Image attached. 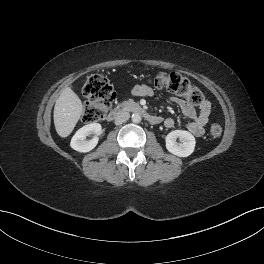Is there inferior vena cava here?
I'll use <instances>...</instances> for the list:
<instances>
[{
  "mask_svg": "<svg viewBox=\"0 0 264 264\" xmlns=\"http://www.w3.org/2000/svg\"><path fill=\"white\" fill-rule=\"evenodd\" d=\"M129 118H130L129 112H121L116 116L115 124L120 125V124L126 122Z\"/></svg>",
  "mask_w": 264,
  "mask_h": 264,
  "instance_id": "inferior-vena-cava-1",
  "label": "inferior vena cava"
}]
</instances>
